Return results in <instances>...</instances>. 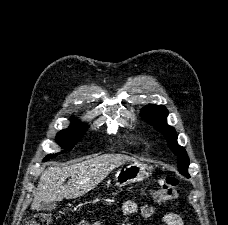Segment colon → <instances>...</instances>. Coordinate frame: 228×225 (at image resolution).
Listing matches in <instances>:
<instances>
[{
    "mask_svg": "<svg viewBox=\"0 0 228 225\" xmlns=\"http://www.w3.org/2000/svg\"><path fill=\"white\" fill-rule=\"evenodd\" d=\"M155 195L159 202L165 203L173 201L179 195V183L174 177H166L159 181L155 189ZM52 221L48 214L37 213L30 218L25 225H51Z\"/></svg>",
    "mask_w": 228,
    "mask_h": 225,
    "instance_id": "5ec220e1",
    "label": "colon"
}]
</instances>
